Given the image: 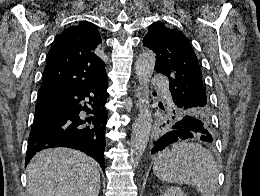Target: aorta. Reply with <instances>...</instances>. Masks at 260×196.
Here are the masks:
<instances>
[{
	"label": "aorta",
	"mask_w": 260,
	"mask_h": 196,
	"mask_svg": "<svg viewBox=\"0 0 260 196\" xmlns=\"http://www.w3.org/2000/svg\"><path fill=\"white\" fill-rule=\"evenodd\" d=\"M156 58L152 51H145L139 54L135 63V71L138 82L144 91L148 89L151 77L155 68ZM145 101V100H144ZM152 125V115L147 105L140 110L132 127L130 141V161L132 165H138L146 149Z\"/></svg>",
	"instance_id": "aorta-1"
}]
</instances>
